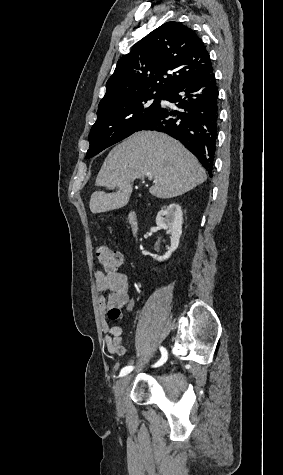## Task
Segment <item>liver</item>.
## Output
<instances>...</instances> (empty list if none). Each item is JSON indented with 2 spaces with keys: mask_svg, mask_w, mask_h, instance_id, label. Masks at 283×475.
Segmentation results:
<instances>
[{
  "mask_svg": "<svg viewBox=\"0 0 283 475\" xmlns=\"http://www.w3.org/2000/svg\"><path fill=\"white\" fill-rule=\"evenodd\" d=\"M145 176L154 178L149 192L156 198L182 196L207 178L197 158L178 140L162 132H135L108 154L96 178V186L117 192H94L89 202L92 214L126 206L134 180Z\"/></svg>",
  "mask_w": 283,
  "mask_h": 475,
  "instance_id": "6515ba94",
  "label": "liver"
}]
</instances>
